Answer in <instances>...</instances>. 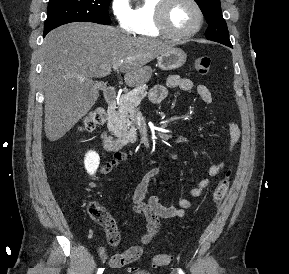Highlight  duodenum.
I'll return each mask as SVG.
<instances>
[{"label":"duodenum","instance_id":"duodenum-1","mask_svg":"<svg viewBox=\"0 0 289 274\" xmlns=\"http://www.w3.org/2000/svg\"><path fill=\"white\" fill-rule=\"evenodd\" d=\"M106 103L108 105V110L112 113L115 110L116 103L118 100V90L115 86H109L104 93ZM101 142L105 149L108 151H118L121 146L122 142L113 138L108 131H103L101 134Z\"/></svg>","mask_w":289,"mask_h":274}]
</instances>
